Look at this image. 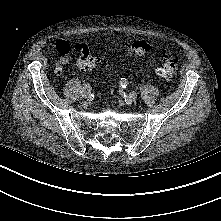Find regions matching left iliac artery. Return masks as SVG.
<instances>
[{"instance_id": "1", "label": "left iliac artery", "mask_w": 221, "mask_h": 221, "mask_svg": "<svg viewBox=\"0 0 221 221\" xmlns=\"http://www.w3.org/2000/svg\"><path fill=\"white\" fill-rule=\"evenodd\" d=\"M120 86L125 89V88L128 86V81H127V79L121 78Z\"/></svg>"}]
</instances>
